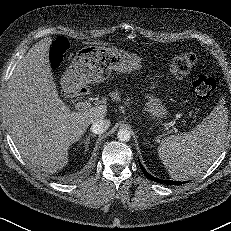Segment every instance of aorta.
Listing matches in <instances>:
<instances>
[{
	"label": "aorta",
	"instance_id": "aorta-1",
	"mask_svg": "<svg viewBox=\"0 0 231 231\" xmlns=\"http://www.w3.org/2000/svg\"><path fill=\"white\" fill-rule=\"evenodd\" d=\"M117 138L121 142H128L131 138V133L127 129H120L117 133Z\"/></svg>",
	"mask_w": 231,
	"mask_h": 231
}]
</instances>
